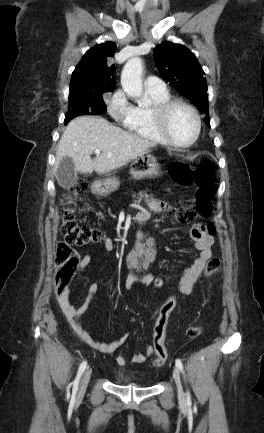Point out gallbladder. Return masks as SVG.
<instances>
[{
    "label": "gallbladder",
    "instance_id": "1",
    "mask_svg": "<svg viewBox=\"0 0 264 433\" xmlns=\"http://www.w3.org/2000/svg\"><path fill=\"white\" fill-rule=\"evenodd\" d=\"M56 179L58 184L64 189L71 188L77 182L78 176L71 158L64 157L60 161L56 170Z\"/></svg>",
    "mask_w": 264,
    "mask_h": 433
}]
</instances>
